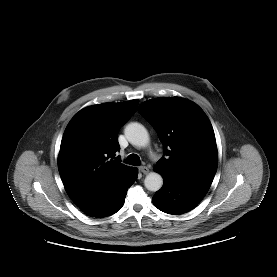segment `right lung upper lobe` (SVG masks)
<instances>
[{
	"instance_id": "cb5924a9",
	"label": "right lung upper lobe",
	"mask_w": 277,
	"mask_h": 277,
	"mask_svg": "<svg viewBox=\"0 0 277 277\" xmlns=\"http://www.w3.org/2000/svg\"><path fill=\"white\" fill-rule=\"evenodd\" d=\"M137 106V100L93 105L69 122L61 141L58 169L65 190L78 207L97 201L134 169L115 156L120 150L118 130Z\"/></svg>"
}]
</instances>
